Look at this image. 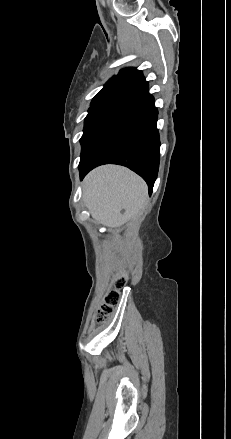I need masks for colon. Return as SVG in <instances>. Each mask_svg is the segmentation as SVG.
I'll list each match as a JSON object with an SVG mask.
<instances>
[{"label":"colon","instance_id":"obj_1","mask_svg":"<svg viewBox=\"0 0 231 439\" xmlns=\"http://www.w3.org/2000/svg\"><path fill=\"white\" fill-rule=\"evenodd\" d=\"M126 283L125 276H119L115 282V288L109 291L105 297V301L100 305L97 313V322L103 323L106 321L113 312L114 307L120 300L119 289H121Z\"/></svg>","mask_w":231,"mask_h":439}]
</instances>
